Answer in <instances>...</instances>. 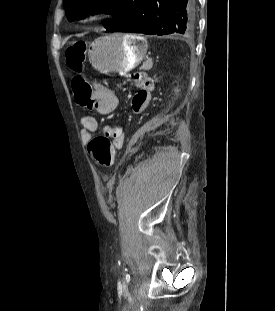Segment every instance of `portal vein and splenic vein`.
I'll use <instances>...</instances> for the list:
<instances>
[{"mask_svg": "<svg viewBox=\"0 0 275 311\" xmlns=\"http://www.w3.org/2000/svg\"><path fill=\"white\" fill-rule=\"evenodd\" d=\"M151 65H152L151 60L147 61V68H150Z\"/></svg>", "mask_w": 275, "mask_h": 311, "instance_id": "18ae733b", "label": "portal vein and splenic vein"}]
</instances>
